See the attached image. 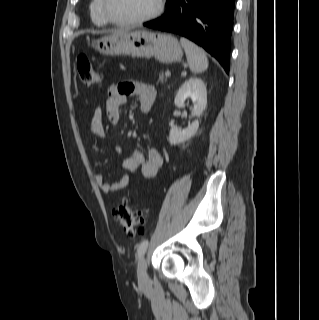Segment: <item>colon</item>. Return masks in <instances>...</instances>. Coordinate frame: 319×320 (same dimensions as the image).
Returning a JSON list of instances; mask_svg holds the SVG:
<instances>
[{"label":"colon","mask_w":319,"mask_h":320,"mask_svg":"<svg viewBox=\"0 0 319 320\" xmlns=\"http://www.w3.org/2000/svg\"><path fill=\"white\" fill-rule=\"evenodd\" d=\"M76 64L83 85L92 87L100 82L101 75L87 56L79 55ZM114 217L128 237L133 238L143 232L142 219L129 203L123 202L115 207Z\"/></svg>","instance_id":"obj_1"}]
</instances>
